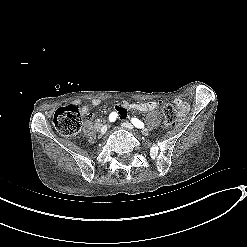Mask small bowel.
<instances>
[{
    "instance_id": "small-bowel-1",
    "label": "small bowel",
    "mask_w": 247,
    "mask_h": 247,
    "mask_svg": "<svg viewBox=\"0 0 247 247\" xmlns=\"http://www.w3.org/2000/svg\"><path fill=\"white\" fill-rule=\"evenodd\" d=\"M76 104L80 105V101H77ZM100 105L99 99H92L89 103L81 106L80 111L83 115H89L91 108L97 107ZM176 105L178 108L183 110V114L187 111V105L181 100H176ZM160 108V103L157 101L150 102H138V103H128L120 102L115 106V113L120 119H125L129 111H138V112H149L157 111Z\"/></svg>"
}]
</instances>
